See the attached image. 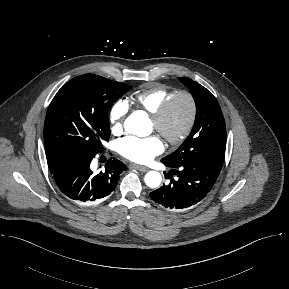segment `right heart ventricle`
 Instances as JSON below:
<instances>
[{
  "mask_svg": "<svg viewBox=\"0 0 289 289\" xmlns=\"http://www.w3.org/2000/svg\"><path fill=\"white\" fill-rule=\"evenodd\" d=\"M176 89L164 84H151L141 89L135 94L134 101L138 107L153 114Z\"/></svg>",
  "mask_w": 289,
  "mask_h": 289,
  "instance_id": "e07e8e85",
  "label": "right heart ventricle"
}]
</instances>
